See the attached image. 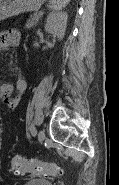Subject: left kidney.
<instances>
[{"label": "left kidney", "instance_id": "1", "mask_svg": "<svg viewBox=\"0 0 119 185\" xmlns=\"http://www.w3.org/2000/svg\"><path fill=\"white\" fill-rule=\"evenodd\" d=\"M68 15L66 12H51L46 19V32L62 40L65 35Z\"/></svg>", "mask_w": 119, "mask_h": 185}]
</instances>
